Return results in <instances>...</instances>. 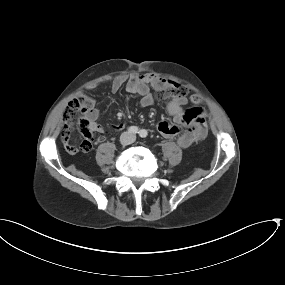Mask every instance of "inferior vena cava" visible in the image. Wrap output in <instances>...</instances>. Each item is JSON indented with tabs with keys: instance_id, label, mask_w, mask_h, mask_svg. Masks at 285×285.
Segmentation results:
<instances>
[{
	"instance_id": "obj_1",
	"label": "inferior vena cava",
	"mask_w": 285,
	"mask_h": 285,
	"mask_svg": "<svg viewBox=\"0 0 285 285\" xmlns=\"http://www.w3.org/2000/svg\"><path fill=\"white\" fill-rule=\"evenodd\" d=\"M128 136L130 137V139L125 142L126 144H130V143H132L135 140V136L134 135L128 134Z\"/></svg>"
}]
</instances>
